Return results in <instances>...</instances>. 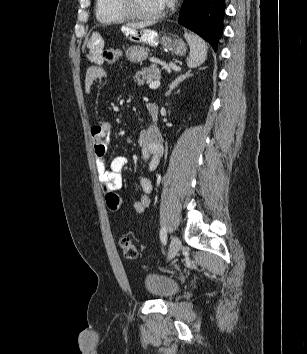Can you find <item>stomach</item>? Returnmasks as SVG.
<instances>
[{
  "instance_id": "obj_1",
  "label": "stomach",
  "mask_w": 307,
  "mask_h": 354,
  "mask_svg": "<svg viewBox=\"0 0 307 354\" xmlns=\"http://www.w3.org/2000/svg\"><path fill=\"white\" fill-rule=\"evenodd\" d=\"M138 34V38H129L137 44L126 50V57L131 62L139 63L148 57V49L140 46L139 44L141 43L151 46L161 45L164 49L172 51L177 55H184L186 53V45L181 39H172L167 35L160 37L155 31L149 29L142 30Z\"/></svg>"
}]
</instances>
